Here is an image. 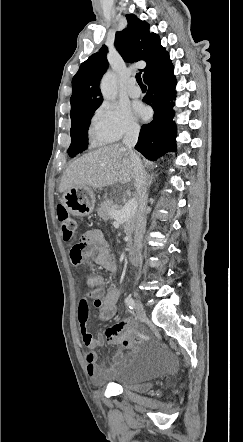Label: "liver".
<instances>
[{
  "label": "liver",
  "mask_w": 243,
  "mask_h": 442,
  "mask_svg": "<svg viewBox=\"0 0 243 442\" xmlns=\"http://www.w3.org/2000/svg\"><path fill=\"white\" fill-rule=\"evenodd\" d=\"M134 179V166L128 150L113 144L88 152L66 169L59 187L64 193L72 187L102 189Z\"/></svg>",
  "instance_id": "obj_1"
}]
</instances>
